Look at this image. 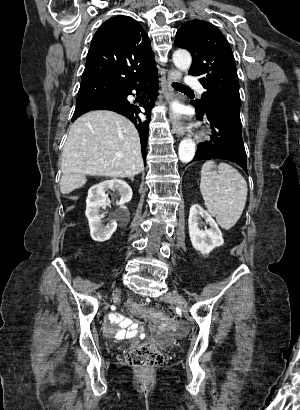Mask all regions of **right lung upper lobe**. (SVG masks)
<instances>
[{"mask_svg":"<svg viewBox=\"0 0 300 410\" xmlns=\"http://www.w3.org/2000/svg\"><path fill=\"white\" fill-rule=\"evenodd\" d=\"M157 75L150 40L128 16L105 21L94 35L81 82H102L126 90Z\"/></svg>","mask_w":300,"mask_h":410,"instance_id":"obj_1","label":"right lung upper lobe"}]
</instances>
